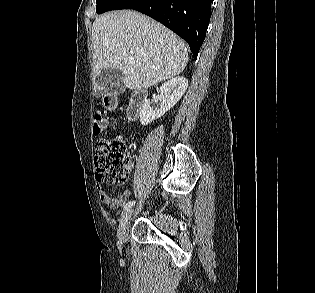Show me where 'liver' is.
Wrapping results in <instances>:
<instances>
[{
  "label": "liver",
  "mask_w": 315,
  "mask_h": 293,
  "mask_svg": "<svg viewBox=\"0 0 315 293\" xmlns=\"http://www.w3.org/2000/svg\"><path fill=\"white\" fill-rule=\"evenodd\" d=\"M94 48V89H109L96 77L103 69H119L126 88L147 89L179 75L188 62L182 39L153 19L131 10L105 13L92 27ZM134 58V64L129 61Z\"/></svg>",
  "instance_id": "1"
}]
</instances>
